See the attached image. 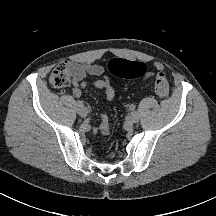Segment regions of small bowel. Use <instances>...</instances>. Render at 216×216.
<instances>
[{
  "instance_id": "c3829d8e",
  "label": "small bowel",
  "mask_w": 216,
  "mask_h": 216,
  "mask_svg": "<svg viewBox=\"0 0 216 216\" xmlns=\"http://www.w3.org/2000/svg\"><path fill=\"white\" fill-rule=\"evenodd\" d=\"M69 69V74L72 83V94L75 98H81L83 89L88 85V76L100 77L92 84L97 89L104 92L107 101H112L115 97V90L107 77L104 76V67L99 64H79L74 62L65 63ZM154 68L158 73L164 71V65L160 62L153 63ZM154 72L146 74L145 79L154 76Z\"/></svg>"
}]
</instances>
